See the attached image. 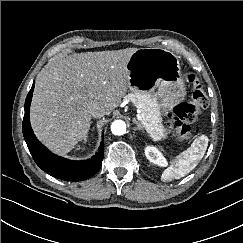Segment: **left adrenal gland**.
<instances>
[{
  "mask_svg": "<svg viewBox=\"0 0 243 243\" xmlns=\"http://www.w3.org/2000/svg\"><path fill=\"white\" fill-rule=\"evenodd\" d=\"M133 122H134V124L137 125V127L135 128V130H143L142 125L136 119H133Z\"/></svg>",
  "mask_w": 243,
  "mask_h": 243,
  "instance_id": "a2214340",
  "label": "left adrenal gland"
}]
</instances>
